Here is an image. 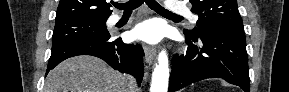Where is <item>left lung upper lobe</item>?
I'll use <instances>...</instances> for the list:
<instances>
[{
    "mask_svg": "<svg viewBox=\"0 0 289 92\" xmlns=\"http://www.w3.org/2000/svg\"><path fill=\"white\" fill-rule=\"evenodd\" d=\"M191 11L199 15L197 27L184 29V34L197 38L201 29L208 27L228 28L243 31V22L236 0H190Z\"/></svg>",
    "mask_w": 289,
    "mask_h": 92,
    "instance_id": "1",
    "label": "left lung upper lobe"
}]
</instances>
